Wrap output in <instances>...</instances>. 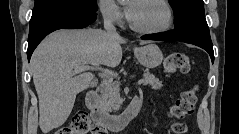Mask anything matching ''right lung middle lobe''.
I'll return each mask as SVG.
<instances>
[{
    "label": "right lung middle lobe",
    "instance_id": "right-lung-middle-lobe-1",
    "mask_svg": "<svg viewBox=\"0 0 239 134\" xmlns=\"http://www.w3.org/2000/svg\"><path fill=\"white\" fill-rule=\"evenodd\" d=\"M64 6L78 7L94 12L98 9L96 0H35L34 10L30 21L52 9Z\"/></svg>",
    "mask_w": 239,
    "mask_h": 134
}]
</instances>
